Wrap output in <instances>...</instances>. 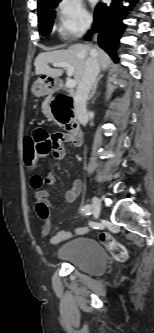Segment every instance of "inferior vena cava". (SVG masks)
Returning <instances> with one entry per match:
<instances>
[{
  "instance_id": "inferior-vena-cava-1",
  "label": "inferior vena cava",
  "mask_w": 154,
  "mask_h": 333,
  "mask_svg": "<svg viewBox=\"0 0 154 333\" xmlns=\"http://www.w3.org/2000/svg\"><path fill=\"white\" fill-rule=\"evenodd\" d=\"M91 23L87 26L90 27ZM100 64L96 57L95 51L90 52V56L86 60L85 70L82 79L78 83L74 96V110L79 122L85 125L88 121V113L86 103L89 93L95 84L99 74Z\"/></svg>"
}]
</instances>
